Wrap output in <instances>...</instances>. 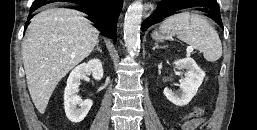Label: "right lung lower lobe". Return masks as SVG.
I'll list each match as a JSON object with an SVG mask.
<instances>
[{
	"label": "right lung lower lobe",
	"instance_id": "98d812e1",
	"mask_svg": "<svg viewBox=\"0 0 257 130\" xmlns=\"http://www.w3.org/2000/svg\"><path fill=\"white\" fill-rule=\"evenodd\" d=\"M45 4H47V2L35 0L30 8V11L33 12ZM82 6L84 7L82 12L88 15L87 18L94 23V26L104 36L112 38L114 41H116V24L118 16L121 12L122 1L95 0ZM28 24L29 22L27 21L25 27Z\"/></svg>",
	"mask_w": 257,
	"mask_h": 130
}]
</instances>
